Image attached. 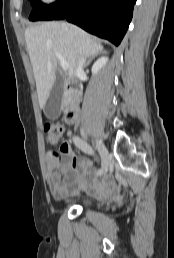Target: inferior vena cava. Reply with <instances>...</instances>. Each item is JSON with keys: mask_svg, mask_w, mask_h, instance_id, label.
Segmentation results:
<instances>
[{"mask_svg": "<svg viewBox=\"0 0 174 258\" xmlns=\"http://www.w3.org/2000/svg\"><path fill=\"white\" fill-rule=\"evenodd\" d=\"M84 63H85V58L82 56H79L77 58V67L75 71L76 75H79L83 71Z\"/></svg>", "mask_w": 174, "mask_h": 258, "instance_id": "602c4592", "label": "inferior vena cava"}]
</instances>
